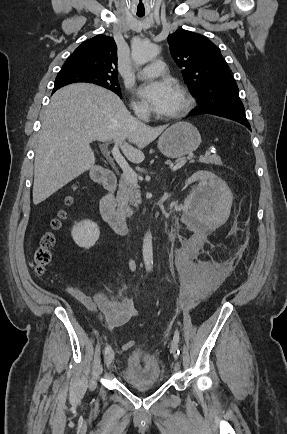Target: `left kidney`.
<instances>
[{
	"instance_id": "1",
	"label": "left kidney",
	"mask_w": 287,
	"mask_h": 434,
	"mask_svg": "<svg viewBox=\"0 0 287 434\" xmlns=\"http://www.w3.org/2000/svg\"><path fill=\"white\" fill-rule=\"evenodd\" d=\"M197 180L200 183L185 200L184 211L199 219L222 222L232 206L231 190L225 181L209 171L194 173L185 185Z\"/></svg>"
}]
</instances>
